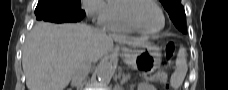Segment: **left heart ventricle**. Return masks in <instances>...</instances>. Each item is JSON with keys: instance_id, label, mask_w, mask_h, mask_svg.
Masks as SVG:
<instances>
[{"instance_id": "1", "label": "left heart ventricle", "mask_w": 228, "mask_h": 90, "mask_svg": "<svg viewBox=\"0 0 228 90\" xmlns=\"http://www.w3.org/2000/svg\"><path fill=\"white\" fill-rule=\"evenodd\" d=\"M134 16L144 28L149 30H157L162 25V17L159 10L148 2L139 4L134 11Z\"/></svg>"}]
</instances>
